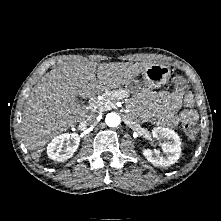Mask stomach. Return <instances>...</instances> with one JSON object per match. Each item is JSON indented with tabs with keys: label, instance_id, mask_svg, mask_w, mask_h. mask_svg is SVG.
Segmentation results:
<instances>
[{
	"label": "stomach",
	"instance_id": "0dacf381",
	"mask_svg": "<svg viewBox=\"0 0 221 221\" xmlns=\"http://www.w3.org/2000/svg\"><path fill=\"white\" fill-rule=\"evenodd\" d=\"M171 76L169 67L162 64H151L146 67L142 72V82L132 81L126 84L125 90L129 93L137 96L139 89L146 91L147 93H154L153 90L165 85ZM144 115H147L143 111Z\"/></svg>",
	"mask_w": 221,
	"mask_h": 221
}]
</instances>
